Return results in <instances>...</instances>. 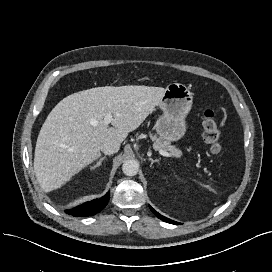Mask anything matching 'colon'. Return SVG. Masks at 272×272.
Here are the masks:
<instances>
[{
  "label": "colon",
  "instance_id": "obj_1",
  "mask_svg": "<svg viewBox=\"0 0 272 272\" xmlns=\"http://www.w3.org/2000/svg\"><path fill=\"white\" fill-rule=\"evenodd\" d=\"M202 127V137L204 142L209 146L210 151L213 154H220L222 151V132L216 115L212 110H207L204 112Z\"/></svg>",
  "mask_w": 272,
  "mask_h": 272
}]
</instances>
